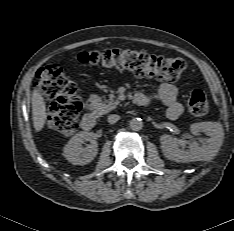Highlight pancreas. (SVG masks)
<instances>
[{
  "label": "pancreas",
  "mask_w": 234,
  "mask_h": 231,
  "mask_svg": "<svg viewBox=\"0 0 234 231\" xmlns=\"http://www.w3.org/2000/svg\"><path fill=\"white\" fill-rule=\"evenodd\" d=\"M88 102H90L88 107L98 116L107 114L118 104V101L114 100L103 102L102 98L98 95H91L88 99Z\"/></svg>",
  "instance_id": "cf45deb5"
}]
</instances>
